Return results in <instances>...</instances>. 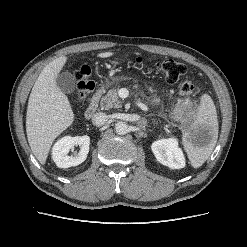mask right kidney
Returning a JSON list of instances; mask_svg holds the SVG:
<instances>
[{"instance_id":"right-kidney-1","label":"right kidney","mask_w":247,"mask_h":247,"mask_svg":"<svg viewBox=\"0 0 247 247\" xmlns=\"http://www.w3.org/2000/svg\"><path fill=\"white\" fill-rule=\"evenodd\" d=\"M80 146V151L74 156L68 153L74 146ZM90 137L84 136H65L59 139L52 148V159L59 168H69L84 162L89 152Z\"/></svg>"}]
</instances>
